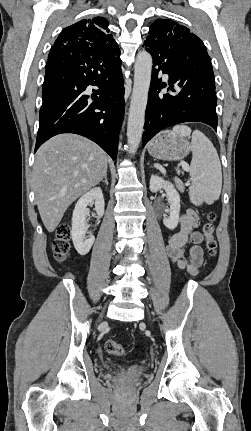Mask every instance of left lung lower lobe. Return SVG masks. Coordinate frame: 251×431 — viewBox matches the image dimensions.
I'll use <instances>...</instances> for the list:
<instances>
[{"instance_id": "obj_1", "label": "left lung lower lobe", "mask_w": 251, "mask_h": 431, "mask_svg": "<svg viewBox=\"0 0 251 431\" xmlns=\"http://www.w3.org/2000/svg\"><path fill=\"white\" fill-rule=\"evenodd\" d=\"M144 46L152 55L153 70L142 147L159 131L179 123L203 122L217 131V97L211 62L188 51L168 49L149 40ZM160 71L169 75L167 90L176 92L174 86L179 87L176 94L159 95V91L167 86L158 79Z\"/></svg>"}]
</instances>
